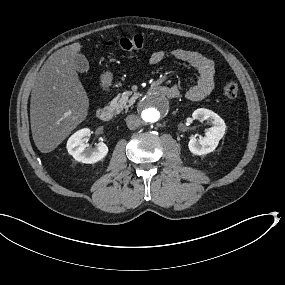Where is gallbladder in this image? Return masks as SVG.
Wrapping results in <instances>:
<instances>
[{
    "instance_id": "obj_1",
    "label": "gallbladder",
    "mask_w": 285,
    "mask_h": 285,
    "mask_svg": "<svg viewBox=\"0 0 285 285\" xmlns=\"http://www.w3.org/2000/svg\"><path fill=\"white\" fill-rule=\"evenodd\" d=\"M74 65L78 72L88 73L90 65L85 56L77 54L74 59Z\"/></svg>"
}]
</instances>
